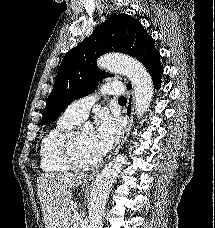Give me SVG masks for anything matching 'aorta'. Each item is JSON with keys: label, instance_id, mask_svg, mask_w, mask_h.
I'll list each match as a JSON object with an SVG mask.
<instances>
[{"label": "aorta", "instance_id": "obj_1", "mask_svg": "<svg viewBox=\"0 0 215 228\" xmlns=\"http://www.w3.org/2000/svg\"><path fill=\"white\" fill-rule=\"evenodd\" d=\"M97 66L112 72H123L129 78L134 92L135 114L141 118L147 112L154 94L152 78L143 64L126 56L107 54L98 58ZM125 162L126 156H118L97 176L89 206V228H103L102 220L107 196Z\"/></svg>", "mask_w": 215, "mask_h": 228}]
</instances>
